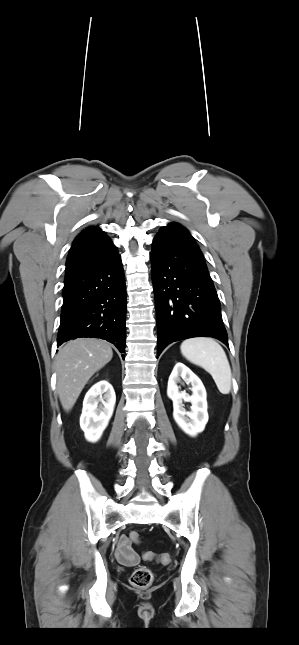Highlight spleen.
<instances>
[{"mask_svg": "<svg viewBox=\"0 0 299 645\" xmlns=\"http://www.w3.org/2000/svg\"><path fill=\"white\" fill-rule=\"evenodd\" d=\"M180 350L187 360L212 376L220 393H230L231 368L220 344L211 338H190L182 342Z\"/></svg>", "mask_w": 299, "mask_h": 645, "instance_id": "3e777b00", "label": "spleen"}]
</instances>
